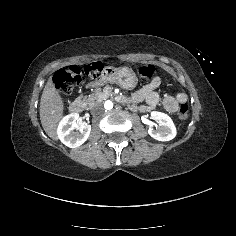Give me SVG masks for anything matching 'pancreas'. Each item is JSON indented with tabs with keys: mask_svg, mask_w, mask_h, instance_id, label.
I'll return each mask as SVG.
<instances>
[{
	"mask_svg": "<svg viewBox=\"0 0 236 236\" xmlns=\"http://www.w3.org/2000/svg\"><path fill=\"white\" fill-rule=\"evenodd\" d=\"M111 95H112L111 90L102 91L100 88H98V89H95L94 92L88 96H79V99H81L82 102L84 104H86V109H91L96 103H100V102L106 100ZM129 109L134 112H136V111L145 112V111L150 110L149 107L143 106V105L142 106L131 105V106H129Z\"/></svg>",
	"mask_w": 236,
	"mask_h": 236,
	"instance_id": "pancreas-1",
	"label": "pancreas"
}]
</instances>
